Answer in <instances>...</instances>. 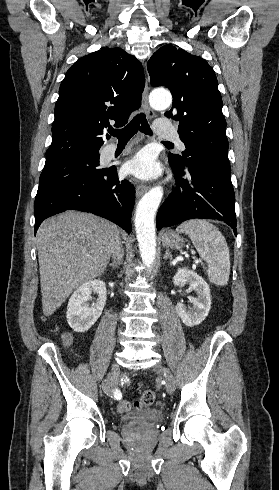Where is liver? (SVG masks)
Returning a JSON list of instances; mask_svg holds the SVG:
<instances>
[{"mask_svg": "<svg viewBox=\"0 0 279 490\" xmlns=\"http://www.w3.org/2000/svg\"><path fill=\"white\" fill-rule=\"evenodd\" d=\"M118 238L127 234L93 214L67 210L42 222L36 246L44 316H52L81 284L102 276Z\"/></svg>", "mask_w": 279, "mask_h": 490, "instance_id": "6515ba94", "label": "liver"}]
</instances>
